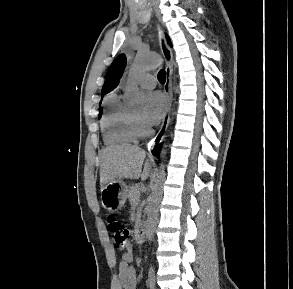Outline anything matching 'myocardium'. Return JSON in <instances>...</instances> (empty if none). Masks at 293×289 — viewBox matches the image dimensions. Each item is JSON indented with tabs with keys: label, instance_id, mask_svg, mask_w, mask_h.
Instances as JSON below:
<instances>
[{
	"label": "myocardium",
	"instance_id": "1",
	"mask_svg": "<svg viewBox=\"0 0 293 289\" xmlns=\"http://www.w3.org/2000/svg\"><path fill=\"white\" fill-rule=\"evenodd\" d=\"M134 128L137 137H145L150 134V131L145 127L139 117L133 115Z\"/></svg>",
	"mask_w": 293,
	"mask_h": 289
}]
</instances>
